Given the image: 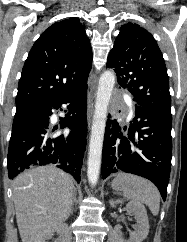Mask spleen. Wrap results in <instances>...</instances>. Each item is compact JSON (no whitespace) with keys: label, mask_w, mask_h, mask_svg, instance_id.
Masks as SVG:
<instances>
[{"label":"spleen","mask_w":187,"mask_h":242,"mask_svg":"<svg viewBox=\"0 0 187 242\" xmlns=\"http://www.w3.org/2000/svg\"><path fill=\"white\" fill-rule=\"evenodd\" d=\"M112 186L123 191V194L133 202L144 203L153 215H158L160 208V193L156 186L142 177L127 173H119Z\"/></svg>","instance_id":"spleen-1"}]
</instances>
